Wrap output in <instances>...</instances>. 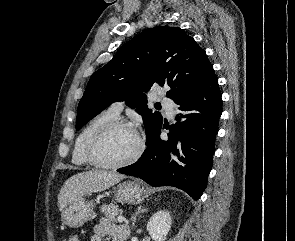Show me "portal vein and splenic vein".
Instances as JSON below:
<instances>
[{
  "mask_svg": "<svg viewBox=\"0 0 295 241\" xmlns=\"http://www.w3.org/2000/svg\"><path fill=\"white\" fill-rule=\"evenodd\" d=\"M118 221L119 222H125L126 219L123 216H118Z\"/></svg>",
  "mask_w": 295,
  "mask_h": 241,
  "instance_id": "1",
  "label": "portal vein and splenic vein"
}]
</instances>
